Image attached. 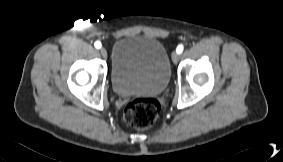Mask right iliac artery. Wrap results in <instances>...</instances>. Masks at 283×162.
<instances>
[{
  "instance_id": "1",
  "label": "right iliac artery",
  "mask_w": 283,
  "mask_h": 162,
  "mask_svg": "<svg viewBox=\"0 0 283 162\" xmlns=\"http://www.w3.org/2000/svg\"><path fill=\"white\" fill-rule=\"evenodd\" d=\"M94 45L97 49L101 47V43L99 41H96Z\"/></svg>"
}]
</instances>
